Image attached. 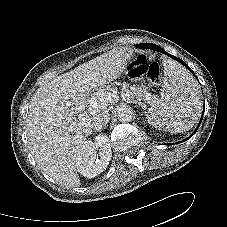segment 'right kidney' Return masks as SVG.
I'll use <instances>...</instances> for the list:
<instances>
[{
	"label": "right kidney",
	"instance_id": "ca27d5eb",
	"mask_svg": "<svg viewBox=\"0 0 227 227\" xmlns=\"http://www.w3.org/2000/svg\"><path fill=\"white\" fill-rule=\"evenodd\" d=\"M99 148V154L96 150ZM112 157L109 139L106 135H98L95 141H86L78 152L76 166L78 172L87 178L102 173Z\"/></svg>",
	"mask_w": 227,
	"mask_h": 227
}]
</instances>
